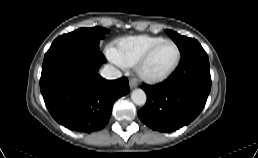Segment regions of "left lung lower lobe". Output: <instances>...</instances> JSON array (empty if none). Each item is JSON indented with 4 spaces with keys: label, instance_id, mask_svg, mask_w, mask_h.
Instances as JSON below:
<instances>
[{
    "label": "left lung lower lobe",
    "instance_id": "1",
    "mask_svg": "<svg viewBox=\"0 0 258 158\" xmlns=\"http://www.w3.org/2000/svg\"><path fill=\"white\" fill-rule=\"evenodd\" d=\"M145 106L138 111L140 120L161 132L189 124L204 108L211 89L208 55L199 42L182 54L176 71L155 86L143 84Z\"/></svg>",
    "mask_w": 258,
    "mask_h": 158
}]
</instances>
